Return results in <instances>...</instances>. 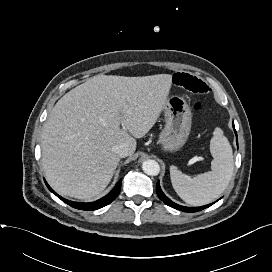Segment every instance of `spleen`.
Here are the masks:
<instances>
[{
    "label": "spleen",
    "instance_id": "1",
    "mask_svg": "<svg viewBox=\"0 0 272 272\" xmlns=\"http://www.w3.org/2000/svg\"><path fill=\"white\" fill-rule=\"evenodd\" d=\"M213 156L211 171L190 177L183 175L175 166L170 167L174 190L182 200L193 206H202L217 199L228 187L234 171L231 145L223 130L215 128L210 141Z\"/></svg>",
    "mask_w": 272,
    "mask_h": 272
}]
</instances>
